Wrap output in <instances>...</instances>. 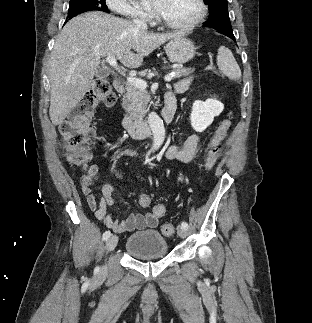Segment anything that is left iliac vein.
Listing matches in <instances>:
<instances>
[{"instance_id": "left-iliac-vein-1", "label": "left iliac vein", "mask_w": 312, "mask_h": 323, "mask_svg": "<svg viewBox=\"0 0 312 323\" xmlns=\"http://www.w3.org/2000/svg\"><path fill=\"white\" fill-rule=\"evenodd\" d=\"M186 230L185 228H183L182 226H178V235L181 237V238H185L186 237Z\"/></svg>"}]
</instances>
